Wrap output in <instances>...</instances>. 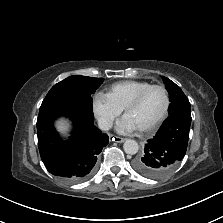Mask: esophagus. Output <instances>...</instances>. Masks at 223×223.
<instances>
[{
	"label": "esophagus",
	"instance_id": "1",
	"mask_svg": "<svg viewBox=\"0 0 223 223\" xmlns=\"http://www.w3.org/2000/svg\"><path fill=\"white\" fill-rule=\"evenodd\" d=\"M126 139L119 137V136H114L112 137V141L117 142V143H123Z\"/></svg>",
	"mask_w": 223,
	"mask_h": 223
}]
</instances>
